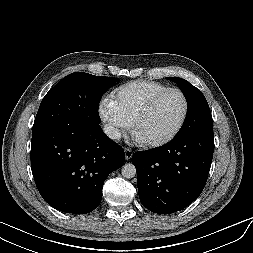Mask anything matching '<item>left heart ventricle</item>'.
I'll use <instances>...</instances> for the list:
<instances>
[{"mask_svg": "<svg viewBox=\"0 0 253 253\" xmlns=\"http://www.w3.org/2000/svg\"><path fill=\"white\" fill-rule=\"evenodd\" d=\"M183 109L184 103L178 93L163 96L139 126L137 134L145 141L165 137L178 124Z\"/></svg>", "mask_w": 253, "mask_h": 253, "instance_id": "left-heart-ventricle-1", "label": "left heart ventricle"}]
</instances>
